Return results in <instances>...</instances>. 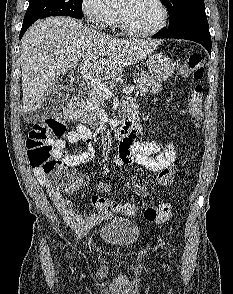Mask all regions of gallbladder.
I'll return each instance as SVG.
<instances>
[{
    "mask_svg": "<svg viewBox=\"0 0 233 294\" xmlns=\"http://www.w3.org/2000/svg\"><path fill=\"white\" fill-rule=\"evenodd\" d=\"M69 97V89L59 80L51 84L44 95V100L40 106V116L38 119H44L62 106Z\"/></svg>",
    "mask_w": 233,
    "mask_h": 294,
    "instance_id": "obj_1",
    "label": "gallbladder"
}]
</instances>
